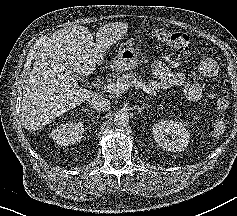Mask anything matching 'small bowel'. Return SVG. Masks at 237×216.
<instances>
[{"instance_id": "c3829d8e", "label": "small bowel", "mask_w": 237, "mask_h": 216, "mask_svg": "<svg viewBox=\"0 0 237 216\" xmlns=\"http://www.w3.org/2000/svg\"><path fill=\"white\" fill-rule=\"evenodd\" d=\"M199 71L206 77H213L218 72L216 62L211 58H204L199 64ZM152 73L159 79L162 88L182 87L185 95L191 100H198L204 94V86L196 81H187L181 72L172 71L165 63L156 61L152 64Z\"/></svg>"}]
</instances>
